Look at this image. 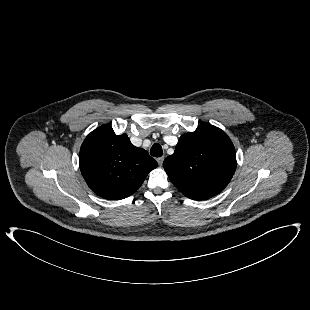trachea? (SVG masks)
Returning a JSON list of instances; mask_svg holds the SVG:
<instances>
[{"label": "trachea", "mask_w": 310, "mask_h": 310, "mask_svg": "<svg viewBox=\"0 0 310 310\" xmlns=\"http://www.w3.org/2000/svg\"><path fill=\"white\" fill-rule=\"evenodd\" d=\"M150 154L153 157H161L163 155V150L160 144H154L151 147Z\"/></svg>", "instance_id": "1"}]
</instances>
